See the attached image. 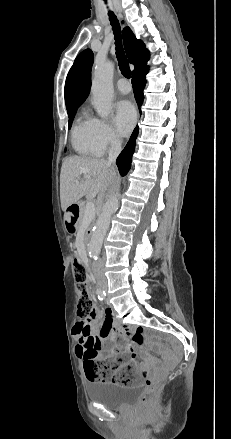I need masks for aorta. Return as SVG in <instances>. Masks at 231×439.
I'll return each instance as SVG.
<instances>
[{
  "label": "aorta",
  "instance_id": "obj_1",
  "mask_svg": "<svg viewBox=\"0 0 231 439\" xmlns=\"http://www.w3.org/2000/svg\"><path fill=\"white\" fill-rule=\"evenodd\" d=\"M113 73L114 65L110 61L98 62L95 68L92 81L93 105L97 114L101 118H106L112 110L113 102ZM119 203V192L117 191L109 197L103 205L91 239L88 243V253L90 257L97 258L100 254L104 237L110 225L111 215L117 210Z\"/></svg>",
  "mask_w": 231,
  "mask_h": 439
}]
</instances>
